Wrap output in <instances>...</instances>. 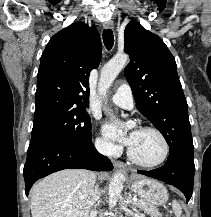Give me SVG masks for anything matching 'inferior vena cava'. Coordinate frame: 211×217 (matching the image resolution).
<instances>
[{"label":"inferior vena cava","instance_id":"inferior-vena-cava-1","mask_svg":"<svg viewBox=\"0 0 211 217\" xmlns=\"http://www.w3.org/2000/svg\"><path fill=\"white\" fill-rule=\"evenodd\" d=\"M97 149L100 153L102 154H108L110 147L108 144H100L97 146ZM99 197H100V192L98 189V186L95 187L93 193H92V197H91V214L89 217H97V210L96 207L98 206L99 203Z\"/></svg>","mask_w":211,"mask_h":217}]
</instances>
